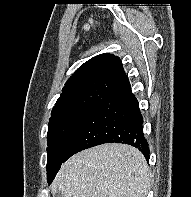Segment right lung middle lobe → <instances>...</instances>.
I'll use <instances>...</instances> for the list:
<instances>
[{
    "mask_svg": "<svg viewBox=\"0 0 191 197\" xmlns=\"http://www.w3.org/2000/svg\"><path fill=\"white\" fill-rule=\"evenodd\" d=\"M94 106L66 110L51 116L47 138V182L50 184Z\"/></svg>",
    "mask_w": 191,
    "mask_h": 197,
    "instance_id": "1",
    "label": "right lung middle lobe"
}]
</instances>
